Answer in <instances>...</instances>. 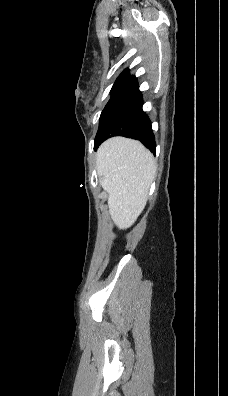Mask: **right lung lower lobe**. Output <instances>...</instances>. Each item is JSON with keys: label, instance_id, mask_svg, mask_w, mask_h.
I'll list each match as a JSON object with an SVG mask.
<instances>
[{"label": "right lung lower lobe", "instance_id": "1", "mask_svg": "<svg viewBox=\"0 0 228 396\" xmlns=\"http://www.w3.org/2000/svg\"><path fill=\"white\" fill-rule=\"evenodd\" d=\"M143 97L137 83L126 87L100 117L94 148L113 136L139 140L155 153L156 143L151 122L142 109Z\"/></svg>", "mask_w": 228, "mask_h": 396}]
</instances>
